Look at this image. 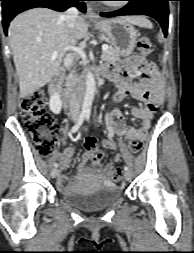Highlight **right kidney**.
<instances>
[{
    "label": "right kidney",
    "mask_w": 194,
    "mask_h": 253,
    "mask_svg": "<svg viewBox=\"0 0 194 253\" xmlns=\"http://www.w3.org/2000/svg\"><path fill=\"white\" fill-rule=\"evenodd\" d=\"M50 110L54 113V114H59L61 111V100H60V96L58 94H54L51 96L50 98Z\"/></svg>",
    "instance_id": "right-kidney-1"
}]
</instances>
